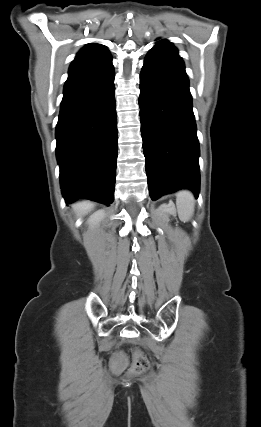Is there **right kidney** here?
Instances as JSON below:
<instances>
[{
    "instance_id": "ca27d5eb",
    "label": "right kidney",
    "mask_w": 261,
    "mask_h": 427,
    "mask_svg": "<svg viewBox=\"0 0 261 427\" xmlns=\"http://www.w3.org/2000/svg\"><path fill=\"white\" fill-rule=\"evenodd\" d=\"M105 216V211L104 210H98L97 212H95L94 214H92L88 220V223L91 225H95L98 224L99 222H101V220L104 218Z\"/></svg>"
}]
</instances>
